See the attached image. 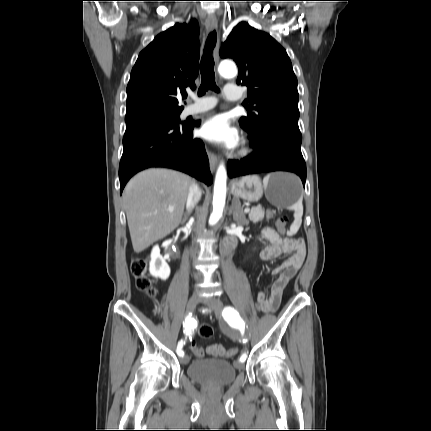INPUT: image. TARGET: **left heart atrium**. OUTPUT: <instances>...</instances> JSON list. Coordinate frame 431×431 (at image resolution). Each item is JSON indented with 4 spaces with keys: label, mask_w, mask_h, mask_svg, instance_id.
<instances>
[{
    "label": "left heart atrium",
    "mask_w": 431,
    "mask_h": 431,
    "mask_svg": "<svg viewBox=\"0 0 431 431\" xmlns=\"http://www.w3.org/2000/svg\"><path fill=\"white\" fill-rule=\"evenodd\" d=\"M200 133L205 139L224 143L229 148L235 147L239 142L238 132L231 128L222 116H214L206 120Z\"/></svg>",
    "instance_id": "obj_1"
}]
</instances>
